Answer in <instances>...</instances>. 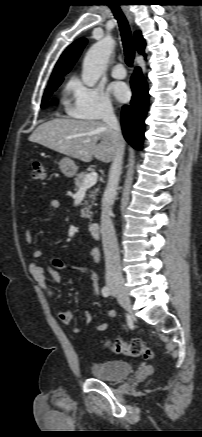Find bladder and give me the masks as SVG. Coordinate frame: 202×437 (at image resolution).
<instances>
[{"mask_svg": "<svg viewBox=\"0 0 202 437\" xmlns=\"http://www.w3.org/2000/svg\"><path fill=\"white\" fill-rule=\"evenodd\" d=\"M91 372L97 379L104 381H120L133 372V365L124 360H108L93 363Z\"/></svg>", "mask_w": 202, "mask_h": 437, "instance_id": "1", "label": "bladder"}]
</instances>
